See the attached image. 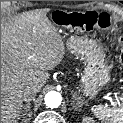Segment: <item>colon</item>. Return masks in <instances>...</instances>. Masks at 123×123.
<instances>
[{
	"label": "colon",
	"instance_id": "obj_1",
	"mask_svg": "<svg viewBox=\"0 0 123 123\" xmlns=\"http://www.w3.org/2000/svg\"><path fill=\"white\" fill-rule=\"evenodd\" d=\"M100 21V18L98 19V22ZM120 62H121V64L123 65V49H122V51H121V53H120Z\"/></svg>",
	"mask_w": 123,
	"mask_h": 123
}]
</instances>
